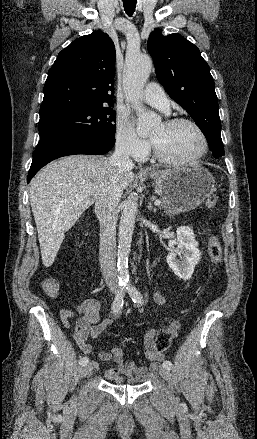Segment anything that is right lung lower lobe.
<instances>
[{"mask_svg":"<svg viewBox=\"0 0 257 439\" xmlns=\"http://www.w3.org/2000/svg\"><path fill=\"white\" fill-rule=\"evenodd\" d=\"M115 142L72 132L56 133L40 139L34 153L27 181L47 163L73 154L102 155L112 149Z\"/></svg>","mask_w":257,"mask_h":439,"instance_id":"right-lung-lower-lobe-1","label":"right lung lower lobe"}]
</instances>
